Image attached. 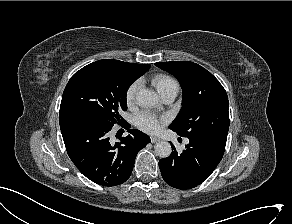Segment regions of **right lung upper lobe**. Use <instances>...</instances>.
Instances as JSON below:
<instances>
[{"mask_svg":"<svg viewBox=\"0 0 292 224\" xmlns=\"http://www.w3.org/2000/svg\"><path fill=\"white\" fill-rule=\"evenodd\" d=\"M127 64L132 69V71L138 76V78L142 76L145 72H147L150 68L149 64H132V63Z\"/></svg>","mask_w":292,"mask_h":224,"instance_id":"obj_1","label":"right lung upper lobe"}]
</instances>
